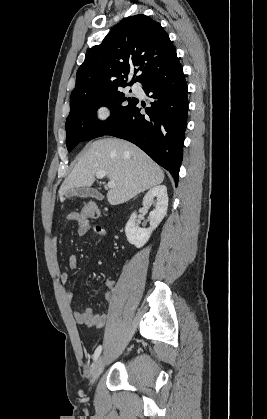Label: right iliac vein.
<instances>
[{"mask_svg": "<svg viewBox=\"0 0 267 419\" xmlns=\"http://www.w3.org/2000/svg\"><path fill=\"white\" fill-rule=\"evenodd\" d=\"M104 364H105V357L100 356L97 359V361H96V363H95V365L92 369V378H91V381H90L91 385H94L97 378L100 376V374L103 370Z\"/></svg>", "mask_w": 267, "mask_h": 419, "instance_id": "63e3f726", "label": "right iliac vein"}]
</instances>
